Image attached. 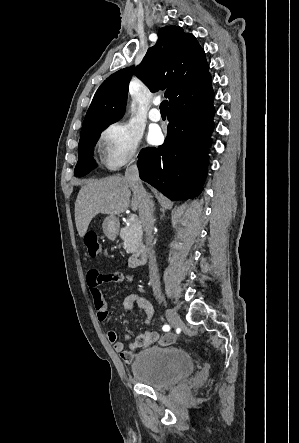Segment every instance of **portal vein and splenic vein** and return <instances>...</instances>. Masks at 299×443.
<instances>
[{
	"mask_svg": "<svg viewBox=\"0 0 299 443\" xmlns=\"http://www.w3.org/2000/svg\"><path fill=\"white\" fill-rule=\"evenodd\" d=\"M138 221V219H137V216L136 215H131L130 216V218H129V222L130 223H134V222H137Z\"/></svg>",
	"mask_w": 299,
	"mask_h": 443,
	"instance_id": "obj_1",
	"label": "portal vein and splenic vein"
}]
</instances>
